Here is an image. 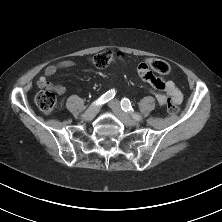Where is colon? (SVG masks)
<instances>
[{"instance_id": "obj_1", "label": "colon", "mask_w": 222, "mask_h": 222, "mask_svg": "<svg viewBox=\"0 0 222 222\" xmlns=\"http://www.w3.org/2000/svg\"><path fill=\"white\" fill-rule=\"evenodd\" d=\"M122 59V55L117 52L105 50L94 54L91 62L98 68H104ZM151 70L152 74L167 75L170 67L167 62L160 59H149L139 65V70ZM37 107L45 114H51L57 107V99L55 94L50 90H41L36 93L34 98ZM167 110L174 114L178 111V107L172 99L167 101Z\"/></svg>"}]
</instances>
